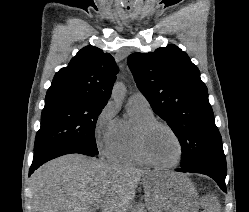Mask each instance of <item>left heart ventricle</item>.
<instances>
[{
  "label": "left heart ventricle",
  "instance_id": "obj_1",
  "mask_svg": "<svg viewBox=\"0 0 249 212\" xmlns=\"http://www.w3.org/2000/svg\"><path fill=\"white\" fill-rule=\"evenodd\" d=\"M146 149L149 156L159 164H173L179 157V146L166 130L157 127L147 136Z\"/></svg>",
  "mask_w": 249,
  "mask_h": 212
}]
</instances>
